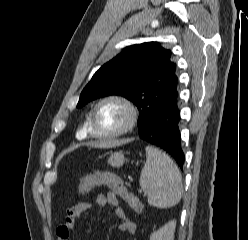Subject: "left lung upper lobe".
Wrapping results in <instances>:
<instances>
[{
  "label": "left lung upper lobe",
  "mask_w": 248,
  "mask_h": 240,
  "mask_svg": "<svg viewBox=\"0 0 248 240\" xmlns=\"http://www.w3.org/2000/svg\"><path fill=\"white\" fill-rule=\"evenodd\" d=\"M176 64L171 51L157 42L128 46L104 64L83 89L77 108L107 95H121L139 110L138 130L178 97Z\"/></svg>",
  "instance_id": "obj_1"
}]
</instances>
